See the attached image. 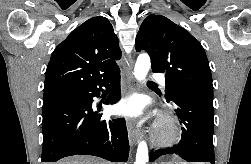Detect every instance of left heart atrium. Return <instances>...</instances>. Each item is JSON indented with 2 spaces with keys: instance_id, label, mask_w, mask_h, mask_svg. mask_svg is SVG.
<instances>
[{
  "instance_id": "1",
  "label": "left heart atrium",
  "mask_w": 251,
  "mask_h": 164,
  "mask_svg": "<svg viewBox=\"0 0 251 164\" xmlns=\"http://www.w3.org/2000/svg\"><path fill=\"white\" fill-rule=\"evenodd\" d=\"M116 109L120 114L129 117H139L143 113L144 103L139 97L129 96L122 99Z\"/></svg>"
}]
</instances>
